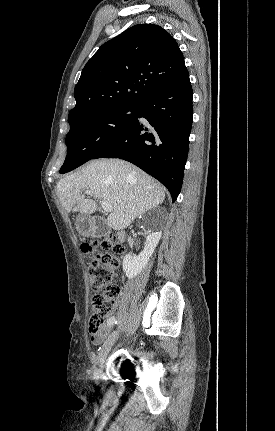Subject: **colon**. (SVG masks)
Segmentation results:
<instances>
[{"label": "colon", "mask_w": 275, "mask_h": 431, "mask_svg": "<svg viewBox=\"0 0 275 431\" xmlns=\"http://www.w3.org/2000/svg\"><path fill=\"white\" fill-rule=\"evenodd\" d=\"M100 249V250H98ZM83 252L89 255V279L94 290H103L92 298V314L89 321V333L92 337L99 335L106 328L120 288L111 284L119 267V254L122 248L110 235H103L94 243H84Z\"/></svg>", "instance_id": "obj_1"}]
</instances>
